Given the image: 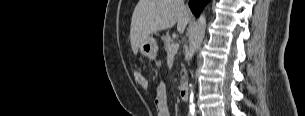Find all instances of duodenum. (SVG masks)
Wrapping results in <instances>:
<instances>
[{
  "mask_svg": "<svg viewBox=\"0 0 305 116\" xmlns=\"http://www.w3.org/2000/svg\"><path fill=\"white\" fill-rule=\"evenodd\" d=\"M188 85L183 82L179 87V97L182 101L186 102L188 100Z\"/></svg>",
  "mask_w": 305,
  "mask_h": 116,
  "instance_id": "obj_1",
  "label": "duodenum"
}]
</instances>
